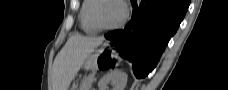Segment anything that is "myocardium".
<instances>
[{
    "mask_svg": "<svg viewBox=\"0 0 228 90\" xmlns=\"http://www.w3.org/2000/svg\"><path fill=\"white\" fill-rule=\"evenodd\" d=\"M104 1H115V2L119 3L122 7V17L120 18V20L117 23L110 25V26L102 25L96 17V11H97L98 5ZM127 19H128V8H127V5L125 4V2L122 0H95V4L93 5V7L91 9V21L94 24V26L98 30H101V31H110V30H115L117 28H120L122 25H124V23L127 21Z\"/></svg>",
    "mask_w": 228,
    "mask_h": 90,
    "instance_id": "obj_1",
    "label": "myocardium"
}]
</instances>
